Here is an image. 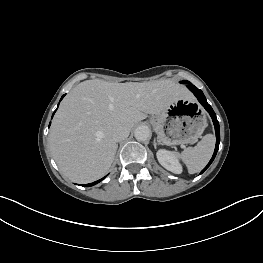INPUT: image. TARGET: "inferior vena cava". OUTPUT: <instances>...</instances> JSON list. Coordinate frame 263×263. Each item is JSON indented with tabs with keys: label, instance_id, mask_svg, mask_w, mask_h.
Here are the masks:
<instances>
[{
	"label": "inferior vena cava",
	"instance_id": "obj_1",
	"mask_svg": "<svg viewBox=\"0 0 263 263\" xmlns=\"http://www.w3.org/2000/svg\"><path fill=\"white\" fill-rule=\"evenodd\" d=\"M129 129L122 125H117L112 130V137L116 142L122 141L129 136Z\"/></svg>",
	"mask_w": 263,
	"mask_h": 263
}]
</instances>
